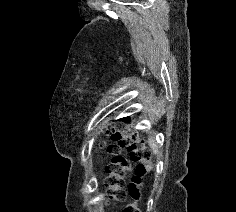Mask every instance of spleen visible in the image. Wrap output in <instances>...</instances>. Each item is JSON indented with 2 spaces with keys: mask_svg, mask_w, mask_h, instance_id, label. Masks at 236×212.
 Instances as JSON below:
<instances>
[{
  "mask_svg": "<svg viewBox=\"0 0 236 212\" xmlns=\"http://www.w3.org/2000/svg\"><path fill=\"white\" fill-rule=\"evenodd\" d=\"M148 143H149L151 149L153 150V153L157 154L158 153V148H157V145L155 144V142H154L152 137L148 138Z\"/></svg>",
  "mask_w": 236,
  "mask_h": 212,
  "instance_id": "spleen-1",
  "label": "spleen"
}]
</instances>
